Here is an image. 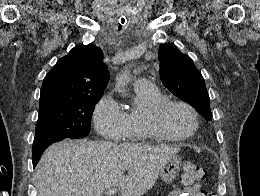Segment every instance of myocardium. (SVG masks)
<instances>
[{
	"instance_id": "f54148a6",
	"label": "myocardium",
	"mask_w": 260,
	"mask_h": 196,
	"mask_svg": "<svg viewBox=\"0 0 260 196\" xmlns=\"http://www.w3.org/2000/svg\"><path fill=\"white\" fill-rule=\"evenodd\" d=\"M171 106H181L185 109H187L193 116L195 125L194 128L189 131L188 133L176 136L171 135L167 133L161 126H160V118L164 114V112ZM143 125L145 128L156 135L161 140H168V141H175V142H186L191 137L194 136V134L198 130V123H199V114L197 110L190 105L189 103L177 100V99H165L163 101H160L156 104H154L143 116L142 118ZM97 192H100V190H97Z\"/></svg>"
}]
</instances>
